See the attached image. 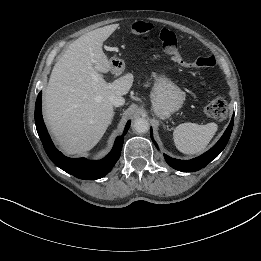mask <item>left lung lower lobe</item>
<instances>
[{
  "label": "left lung lower lobe",
  "instance_id": "0a47b994",
  "mask_svg": "<svg viewBox=\"0 0 261 261\" xmlns=\"http://www.w3.org/2000/svg\"><path fill=\"white\" fill-rule=\"evenodd\" d=\"M233 121H234V115L231 119L228 128L224 132L223 136L206 153L202 154L198 158L192 160H186V161L174 159L164 154V158L167 164L173 167L174 169L182 172H194L204 168L208 163H210L214 158H216L219 155V153L225 148L232 132ZM151 135H152V130H151Z\"/></svg>",
  "mask_w": 261,
  "mask_h": 261
}]
</instances>
